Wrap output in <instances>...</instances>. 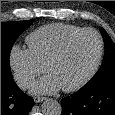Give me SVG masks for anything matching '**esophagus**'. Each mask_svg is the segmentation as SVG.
I'll list each match as a JSON object with an SVG mask.
<instances>
[{
  "label": "esophagus",
  "mask_w": 115,
  "mask_h": 115,
  "mask_svg": "<svg viewBox=\"0 0 115 115\" xmlns=\"http://www.w3.org/2000/svg\"><path fill=\"white\" fill-rule=\"evenodd\" d=\"M45 99H46L45 97H39V96L34 97V101L36 103H40V102L44 101Z\"/></svg>",
  "instance_id": "1"
}]
</instances>
